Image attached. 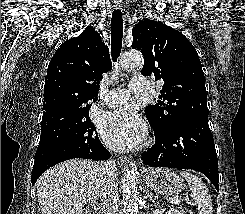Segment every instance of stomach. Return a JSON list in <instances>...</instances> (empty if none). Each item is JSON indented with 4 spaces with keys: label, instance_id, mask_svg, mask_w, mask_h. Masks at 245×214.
Listing matches in <instances>:
<instances>
[{
    "label": "stomach",
    "instance_id": "stomach-1",
    "mask_svg": "<svg viewBox=\"0 0 245 214\" xmlns=\"http://www.w3.org/2000/svg\"><path fill=\"white\" fill-rule=\"evenodd\" d=\"M142 177L151 190L162 195L175 196L185 188L183 179L169 168H149L142 172Z\"/></svg>",
    "mask_w": 245,
    "mask_h": 214
}]
</instances>
